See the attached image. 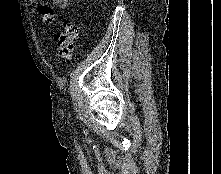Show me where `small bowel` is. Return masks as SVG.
Masks as SVG:
<instances>
[{"label": "small bowel", "instance_id": "obj_1", "mask_svg": "<svg viewBox=\"0 0 221 174\" xmlns=\"http://www.w3.org/2000/svg\"><path fill=\"white\" fill-rule=\"evenodd\" d=\"M37 2L38 0H32ZM52 5L49 4H41L38 7V11L41 15L42 22L46 25H50L55 20V10L54 6L59 8H66L68 6V0H51Z\"/></svg>", "mask_w": 221, "mask_h": 174}]
</instances>
